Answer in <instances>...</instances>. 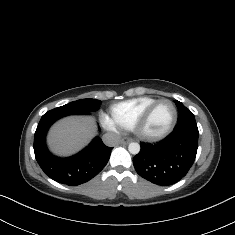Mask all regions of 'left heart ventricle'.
<instances>
[{"mask_svg": "<svg viewBox=\"0 0 235 235\" xmlns=\"http://www.w3.org/2000/svg\"><path fill=\"white\" fill-rule=\"evenodd\" d=\"M174 116V108L169 102L160 103L154 110L151 119L144 129L146 134H158L165 131Z\"/></svg>", "mask_w": 235, "mask_h": 235, "instance_id": "b2bd125f", "label": "left heart ventricle"}]
</instances>
